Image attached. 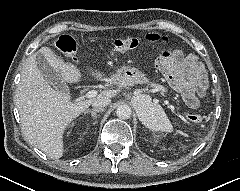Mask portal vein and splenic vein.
<instances>
[{
  "label": "portal vein and splenic vein",
  "instance_id": "portal-vein-and-splenic-vein-1",
  "mask_svg": "<svg viewBox=\"0 0 240 191\" xmlns=\"http://www.w3.org/2000/svg\"><path fill=\"white\" fill-rule=\"evenodd\" d=\"M153 92H156V90H152ZM97 96L96 90H90L85 94V98H94Z\"/></svg>",
  "mask_w": 240,
  "mask_h": 191
}]
</instances>
